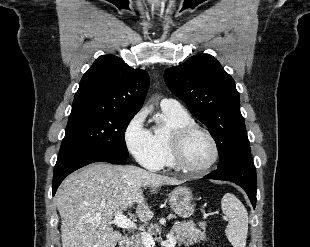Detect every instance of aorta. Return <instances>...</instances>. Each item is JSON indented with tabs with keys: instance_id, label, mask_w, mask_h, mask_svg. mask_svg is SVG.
Returning a JSON list of instances; mask_svg holds the SVG:
<instances>
[{
	"instance_id": "762f6f07",
	"label": "aorta",
	"mask_w": 310,
	"mask_h": 247,
	"mask_svg": "<svg viewBox=\"0 0 310 247\" xmlns=\"http://www.w3.org/2000/svg\"><path fill=\"white\" fill-rule=\"evenodd\" d=\"M155 121H156L157 124H160V123H161V119L158 118L157 116L155 117Z\"/></svg>"
}]
</instances>
